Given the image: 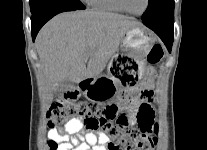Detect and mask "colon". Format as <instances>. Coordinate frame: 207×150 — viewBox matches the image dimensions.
<instances>
[{
	"label": "colon",
	"instance_id": "1",
	"mask_svg": "<svg viewBox=\"0 0 207 150\" xmlns=\"http://www.w3.org/2000/svg\"><path fill=\"white\" fill-rule=\"evenodd\" d=\"M164 56L161 45L155 44L147 55L152 66L149 75L155 74V67ZM154 87H143L136 94L124 97L122 103L99 105L98 103L65 97L57 101L48 111V125L59 127L74 118L83 120L89 131L103 129L110 136L107 150H155L157 116ZM50 150H57L58 143L49 140Z\"/></svg>",
	"mask_w": 207,
	"mask_h": 150
}]
</instances>
